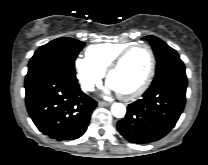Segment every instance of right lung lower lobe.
I'll return each instance as SVG.
<instances>
[{
  "instance_id": "1",
  "label": "right lung lower lobe",
  "mask_w": 208,
  "mask_h": 165,
  "mask_svg": "<svg viewBox=\"0 0 208 165\" xmlns=\"http://www.w3.org/2000/svg\"><path fill=\"white\" fill-rule=\"evenodd\" d=\"M25 100L36 127L58 141L86 131L97 102L84 94L75 74L59 67L43 68L25 79Z\"/></svg>"
}]
</instances>
